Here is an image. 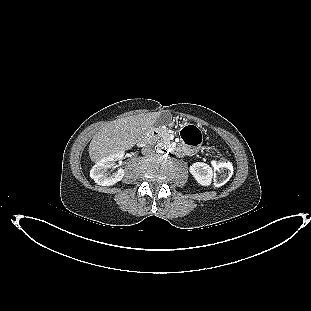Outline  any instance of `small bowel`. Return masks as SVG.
<instances>
[{
    "label": "small bowel",
    "instance_id": "1",
    "mask_svg": "<svg viewBox=\"0 0 311 311\" xmlns=\"http://www.w3.org/2000/svg\"><path fill=\"white\" fill-rule=\"evenodd\" d=\"M192 128H193V130H194L195 132H199L197 128H195V127H192ZM184 143H185L186 145H190V144H189L187 141H185V140H184ZM182 151L185 152V153H192V150L187 149L186 147H183V148H182Z\"/></svg>",
    "mask_w": 311,
    "mask_h": 311
}]
</instances>
